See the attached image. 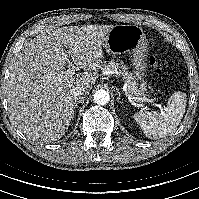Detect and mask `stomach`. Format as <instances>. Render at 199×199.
<instances>
[{"label": "stomach", "mask_w": 199, "mask_h": 199, "mask_svg": "<svg viewBox=\"0 0 199 199\" xmlns=\"http://www.w3.org/2000/svg\"><path fill=\"white\" fill-rule=\"evenodd\" d=\"M107 52L132 56L136 80H142L146 71L147 40L141 27L137 25H115L103 39Z\"/></svg>", "instance_id": "obj_1"}]
</instances>
